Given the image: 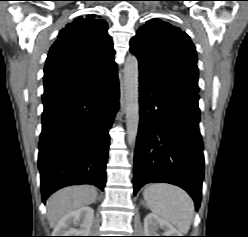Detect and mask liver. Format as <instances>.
<instances>
[{
    "mask_svg": "<svg viewBox=\"0 0 248 237\" xmlns=\"http://www.w3.org/2000/svg\"><path fill=\"white\" fill-rule=\"evenodd\" d=\"M97 191L93 186H71L54 193L47 201V218L51 228L68 213L95 202Z\"/></svg>",
    "mask_w": 248,
    "mask_h": 237,
    "instance_id": "liver-1",
    "label": "liver"
}]
</instances>
